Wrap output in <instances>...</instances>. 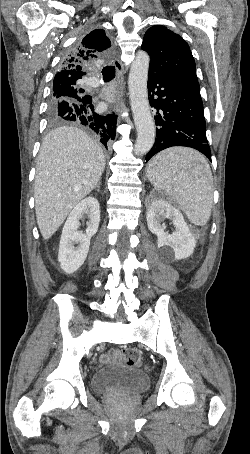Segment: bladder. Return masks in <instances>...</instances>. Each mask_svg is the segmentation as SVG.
I'll list each match as a JSON object with an SVG mask.
<instances>
[{"label":"bladder","mask_w":250,"mask_h":454,"mask_svg":"<svg viewBox=\"0 0 250 454\" xmlns=\"http://www.w3.org/2000/svg\"><path fill=\"white\" fill-rule=\"evenodd\" d=\"M150 384L146 371L127 364L107 365L91 376V388L97 394L145 392Z\"/></svg>","instance_id":"obj_1"}]
</instances>
